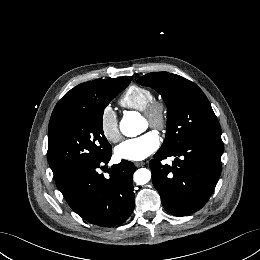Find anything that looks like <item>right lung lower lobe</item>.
Masks as SVG:
<instances>
[{
  "mask_svg": "<svg viewBox=\"0 0 260 260\" xmlns=\"http://www.w3.org/2000/svg\"><path fill=\"white\" fill-rule=\"evenodd\" d=\"M69 169L55 178L58 189L70 207L86 221L105 227L123 223L134 208L132 176L135 166L122 160L109 170L110 178L98 173L111 158Z\"/></svg>",
  "mask_w": 260,
  "mask_h": 260,
  "instance_id": "1",
  "label": "right lung lower lobe"
}]
</instances>
